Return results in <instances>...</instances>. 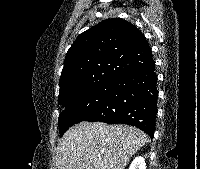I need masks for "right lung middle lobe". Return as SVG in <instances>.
<instances>
[{
  "label": "right lung middle lobe",
  "instance_id": "right-lung-middle-lobe-1",
  "mask_svg": "<svg viewBox=\"0 0 200 169\" xmlns=\"http://www.w3.org/2000/svg\"><path fill=\"white\" fill-rule=\"evenodd\" d=\"M116 81V79L100 80L70 97L58 100V103L63 106L58 120L60 136L69 127L83 121L93 113L103 103Z\"/></svg>",
  "mask_w": 200,
  "mask_h": 169
}]
</instances>
